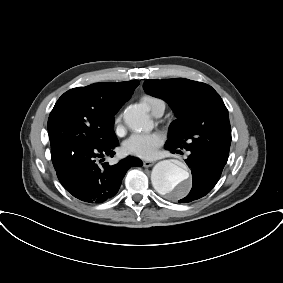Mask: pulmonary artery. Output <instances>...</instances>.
<instances>
[{
  "label": "pulmonary artery",
  "mask_w": 283,
  "mask_h": 283,
  "mask_svg": "<svg viewBox=\"0 0 283 283\" xmlns=\"http://www.w3.org/2000/svg\"><path fill=\"white\" fill-rule=\"evenodd\" d=\"M165 110V104H162L160 105L158 108H156L154 111H153V114L156 116V117H159L163 114Z\"/></svg>",
  "instance_id": "e3ab8cb5"
}]
</instances>
